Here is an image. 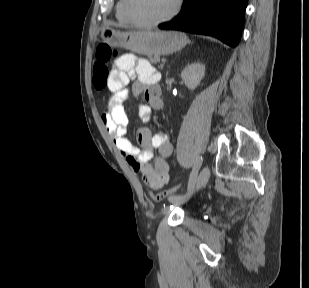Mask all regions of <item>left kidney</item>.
Returning a JSON list of instances; mask_svg holds the SVG:
<instances>
[{
    "label": "left kidney",
    "instance_id": "obj_1",
    "mask_svg": "<svg viewBox=\"0 0 309 288\" xmlns=\"http://www.w3.org/2000/svg\"><path fill=\"white\" fill-rule=\"evenodd\" d=\"M205 75V65L199 62L188 65L181 72V78L190 90H194Z\"/></svg>",
    "mask_w": 309,
    "mask_h": 288
}]
</instances>
